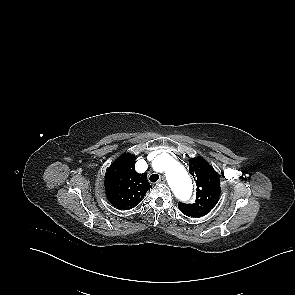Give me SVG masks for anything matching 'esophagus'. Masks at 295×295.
I'll list each match as a JSON object with an SVG mask.
<instances>
[{
	"label": "esophagus",
	"instance_id": "34e87169",
	"mask_svg": "<svg viewBox=\"0 0 295 295\" xmlns=\"http://www.w3.org/2000/svg\"><path fill=\"white\" fill-rule=\"evenodd\" d=\"M165 182H166V180L164 177H161L158 181V183H160V184H164Z\"/></svg>",
	"mask_w": 295,
	"mask_h": 295
}]
</instances>
